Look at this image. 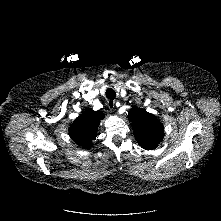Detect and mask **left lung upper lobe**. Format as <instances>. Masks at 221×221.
Returning a JSON list of instances; mask_svg holds the SVG:
<instances>
[{
  "mask_svg": "<svg viewBox=\"0 0 221 221\" xmlns=\"http://www.w3.org/2000/svg\"><path fill=\"white\" fill-rule=\"evenodd\" d=\"M132 123L137 142L141 147L152 150L162 141L164 127L152 114L138 108H133L128 114Z\"/></svg>",
  "mask_w": 221,
  "mask_h": 221,
  "instance_id": "left-lung-upper-lobe-1",
  "label": "left lung upper lobe"
}]
</instances>
